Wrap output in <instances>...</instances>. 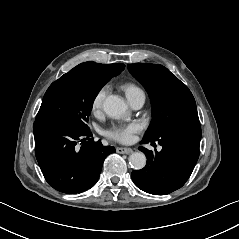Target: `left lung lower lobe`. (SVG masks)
<instances>
[{"instance_id": "left-lung-lower-lobe-1", "label": "left lung lower lobe", "mask_w": 239, "mask_h": 239, "mask_svg": "<svg viewBox=\"0 0 239 239\" xmlns=\"http://www.w3.org/2000/svg\"><path fill=\"white\" fill-rule=\"evenodd\" d=\"M200 123L185 122L165 130L157 140L143 138L142 143L155 141L162 150L155 154L144 147L139 150L147 157L146 166L132 171V180L141 190L165 195L181 188L190 177L199 158Z\"/></svg>"}]
</instances>
